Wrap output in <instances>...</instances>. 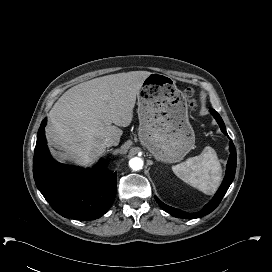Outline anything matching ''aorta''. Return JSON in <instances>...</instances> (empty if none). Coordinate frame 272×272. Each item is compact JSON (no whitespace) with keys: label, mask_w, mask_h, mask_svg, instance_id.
Instances as JSON below:
<instances>
[{"label":"aorta","mask_w":272,"mask_h":272,"mask_svg":"<svg viewBox=\"0 0 272 272\" xmlns=\"http://www.w3.org/2000/svg\"><path fill=\"white\" fill-rule=\"evenodd\" d=\"M129 166L134 171L141 170L143 167V160L140 157H134L130 159Z\"/></svg>","instance_id":"1"}]
</instances>
